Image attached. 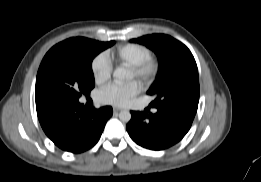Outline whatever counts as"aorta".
Returning <instances> with one entry per match:
<instances>
[{"label": "aorta", "mask_w": 261, "mask_h": 182, "mask_svg": "<svg viewBox=\"0 0 261 182\" xmlns=\"http://www.w3.org/2000/svg\"><path fill=\"white\" fill-rule=\"evenodd\" d=\"M113 78L116 84H122L131 78V74L125 68H116L113 72ZM119 119L122 122H129L131 119V113L128 110H123L119 113Z\"/></svg>", "instance_id": "aorta-1"}]
</instances>
